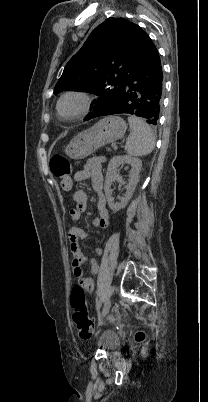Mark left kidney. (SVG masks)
Instances as JSON below:
<instances>
[{
    "label": "left kidney",
    "instance_id": "obj_1",
    "mask_svg": "<svg viewBox=\"0 0 208 402\" xmlns=\"http://www.w3.org/2000/svg\"><path fill=\"white\" fill-rule=\"evenodd\" d=\"M122 164H130L131 172L129 174V182L127 186H125L127 192L124 198H121V202H114V198H112L111 186L112 182L118 180V182H123L121 176L117 174V168L122 166ZM142 162L139 158H133V156H114L112 160H110L108 164V170L105 178L104 190L106 194V200L108 202L109 208L115 212H119L122 208L127 206L129 200L132 198V194L139 182V174L141 172Z\"/></svg>",
    "mask_w": 208,
    "mask_h": 402
}]
</instances>
